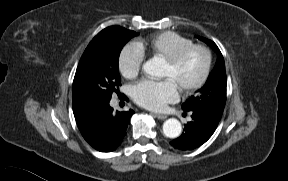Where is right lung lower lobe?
<instances>
[{
	"mask_svg": "<svg viewBox=\"0 0 288 181\" xmlns=\"http://www.w3.org/2000/svg\"><path fill=\"white\" fill-rule=\"evenodd\" d=\"M133 110L113 113L109 103L106 104L98 117L93 138L86 140L100 152L116 150L122 143Z\"/></svg>",
	"mask_w": 288,
	"mask_h": 181,
	"instance_id": "1",
	"label": "right lung lower lobe"
}]
</instances>
